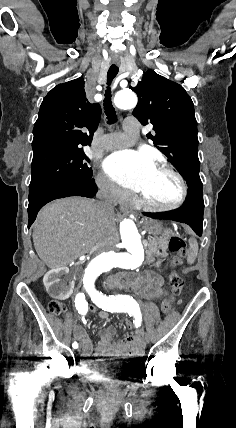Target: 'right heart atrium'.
I'll return each mask as SVG.
<instances>
[{
  "label": "right heart atrium",
  "mask_w": 236,
  "mask_h": 428,
  "mask_svg": "<svg viewBox=\"0 0 236 428\" xmlns=\"http://www.w3.org/2000/svg\"><path fill=\"white\" fill-rule=\"evenodd\" d=\"M95 186L105 200L114 203H123L130 198V194L109 180L104 174L98 173L94 177Z\"/></svg>",
  "instance_id": "obj_1"
}]
</instances>
